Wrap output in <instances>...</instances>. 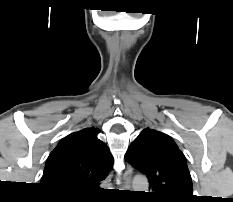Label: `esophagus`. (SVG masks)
Returning a JSON list of instances; mask_svg holds the SVG:
<instances>
[{"mask_svg": "<svg viewBox=\"0 0 233 202\" xmlns=\"http://www.w3.org/2000/svg\"><path fill=\"white\" fill-rule=\"evenodd\" d=\"M132 180V168L130 165H127L126 170L123 174V185L127 188H130Z\"/></svg>", "mask_w": 233, "mask_h": 202, "instance_id": "1", "label": "esophagus"}]
</instances>
